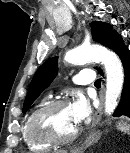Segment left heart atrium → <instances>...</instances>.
<instances>
[{
  "mask_svg": "<svg viewBox=\"0 0 130 153\" xmlns=\"http://www.w3.org/2000/svg\"><path fill=\"white\" fill-rule=\"evenodd\" d=\"M70 108L76 124L86 120L92 112L90 102L83 95H79L70 105Z\"/></svg>",
  "mask_w": 130,
  "mask_h": 153,
  "instance_id": "obj_1",
  "label": "left heart atrium"
}]
</instances>
